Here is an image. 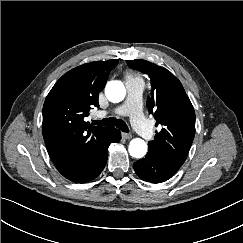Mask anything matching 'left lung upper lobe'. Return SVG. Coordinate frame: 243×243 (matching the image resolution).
Listing matches in <instances>:
<instances>
[{"label": "left lung upper lobe", "mask_w": 243, "mask_h": 243, "mask_svg": "<svg viewBox=\"0 0 243 243\" xmlns=\"http://www.w3.org/2000/svg\"><path fill=\"white\" fill-rule=\"evenodd\" d=\"M129 67L143 71L151 79L152 94L148 99L149 112L157 120L149 149L182 166L195 135V112L180 81L167 69L146 60H127Z\"/></svg>", "instance_id": "obj_1"}]
</instances>
